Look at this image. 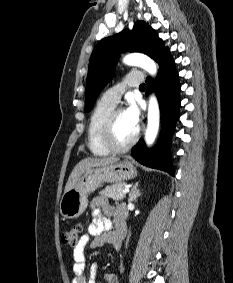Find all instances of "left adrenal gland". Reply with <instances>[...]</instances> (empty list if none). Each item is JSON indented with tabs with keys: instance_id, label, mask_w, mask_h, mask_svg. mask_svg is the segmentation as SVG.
Listing matches in <instances>:
<instances>
[{
	"instance_id": "a2214340",
	"label": "left adrenal gland",
	"mask_w": 233,
	"mask_h": 283,
	"mask_svg": "<svg viewBox=\"0 0 233 283\" xmlns=\"http://www.w3.org/2000/svg\"><path fill=\"white\" fill-rule=\"evenodd\" d=\"M138 182L135 183V185L133 186V188L131 189V192L129 194V202H133L135 201L140 195V191L138 189Z\"/></svg>"
}]
</instances>
